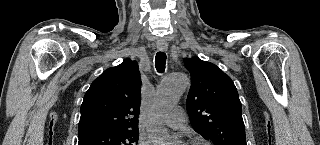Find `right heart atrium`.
I'll return each mask as SVG.
<instances>
[{"label": "right heart atrium", "instance_id": "d8ad5b80", "mask_svg": "<svg viewBox=\"0 0 320 145\" xmlns=\"http://www.w3.org/2000/svg\"><path fill=\"white\" fill-rule=\"evenodd\" d=\"M139 145H151V143L147 139L141 138L139 140Z\"/></svg>", "mask_w": 320, "mask_h": 145}]
</instances>
